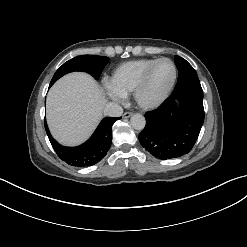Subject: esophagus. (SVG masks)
Listing matches in <instances>:
<instances>
[{
    "label": "esophagus",
    "instance_id": "esophagus-1",
    "mask_svg": "<svg viewBox=\"0 0 247 247\" xmlns=\"http://www.w3.org/2000/svg\"><path fill=\"white\" fill-rule=\"evenodd\" d=\"M132 116V112H125L124 114H123V118H129V117H131Z\"/></svg>",
    "mask_w": 247,
    "mask_h": 247
}]
</instances>
